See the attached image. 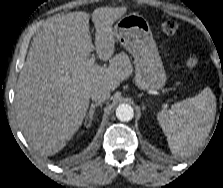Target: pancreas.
Returning <instances> with one entry per match:
<instances>
[{"label":"pancreas","instance_id":"1","mask_svg":"<svg viewBox=\"0 0 223 188\" xmlns=\"http://www.w3.org/2000/svg\"><path fill=\"white\" fill-rule=\"evenodd\" d=\"M117 60H126V61H129L128 60V57L125 55V54H120L116 57Z\"/></svg>","mask_w":223,"mask_h":188}]
</instances>
